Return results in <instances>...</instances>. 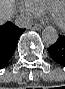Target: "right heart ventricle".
<instances>
[{"instance_id": "right-heart-ventricle-1", "label": "right heart ventricle", "mask_w": 65, "mask_h": 89, "mask_svg": "<svg viewBox=\"0 0 65 89\" xmlns=\"http://www.w3.org/2000/svg\"><path fill=\"white\" fill-rule=\"evenodd\" d=\"M58 0H28V6L33 10V14H43L49 11L50 7Z\"/></svg>"}]
</instances>
